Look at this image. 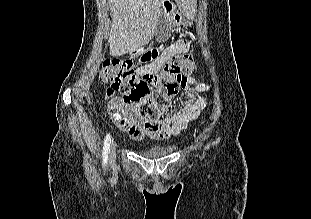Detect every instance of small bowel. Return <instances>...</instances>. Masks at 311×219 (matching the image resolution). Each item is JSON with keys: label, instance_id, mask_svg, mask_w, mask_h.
<instances>
[{"label": "small bowel", "instance_id": "1", "mask_svg": "<svg viewBox=\"0 0 311 219\" xmlns=\"http://www.w3.org/2000/svg\"><path fill=\"white\" fill-rule=\"evenodd\" d=\"M189 51L190 46L185 40H177L167 47L155 61L139 67L138 72L141 75H155L171 57L178 54L186 55ZM188 83L183 89L187 90L189 103L172 117L160 121H149L140 115L136 107L124 103L118 104V114L114 113L113 106L109 104L108 113L116 126L134 139H142L145 135L157 140L169 139L178 135L190 121L195 120L208 104L207 96L199 95V93L207 91L209 85L190 77H188Z\"/></svg>", "mask_w": 311, "mask_h": 219}]
</instances>
